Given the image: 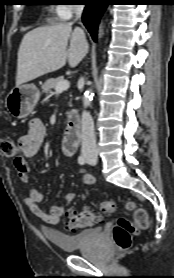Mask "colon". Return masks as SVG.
<instances>
[{"instance_id":"colon-1","label":"colon","mask_w":174,"mask_h":278,"mask_svg":"<svg viewBox=\"0 0 174 278\" xmlns=\"http://www.w3.org/2000/svg\"><path fill=\"white\" fill-rule=\"evenodd\" d=\"M0 150L7 158H15L19 154L18 145L12 140H3L0 143ZM126 208L133 213L132 221L120 218L113 228V238L119 249H128L132 244V233L144 230L149 225V217L145 209L137 206L134 202H127ZM114 211V203L103 201L98 209L86 208L81 211L68 212L67 228L77 230L92 226L101 220L102 214H109Z\"/></svg>"}]
</instances>
